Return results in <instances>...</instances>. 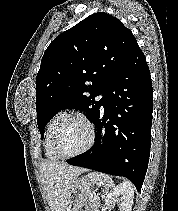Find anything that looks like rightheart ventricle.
Segmentation results:
<instances>
[{"label": "right heart ventricle", "mask_w": 178, "mask_h": 211, "mask_svg": "<svg viewBox=\"0 0 178 211\" xmlns=\"http://www.w3.org/2000/svg\"><path fill=\"white\" fill-rule=\"evenodd\" d=\"M66 115L67 114L64 110H58L57 112L54 113V115L51 117V119L47 124L44 148H45V154L50 160L59 159V157L53 150L52 140L55 129Z\"/></svg>", "instance_id": "right-heart-ventricle-1"}]
</instances>
